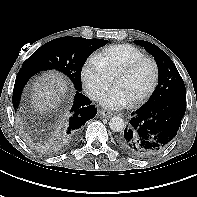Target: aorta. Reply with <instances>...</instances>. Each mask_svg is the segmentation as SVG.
<instances>
[{
  "instance_id": "obj_1",
  "label": "aorta",
  "mask_w": 197,
  "mask_h": 197,
  "mask_svg": "<svg viewBox=\"0 0 197 197\" xmlns=\"http://www.w3.org/2000/svg\"><path fill=\"white\" fill-rule=\"evenodd\" d=\"M110 129L114 132H121L125 128L124 120L119 116H114L109 121Z\"/></svg>"
}]
</instances>
